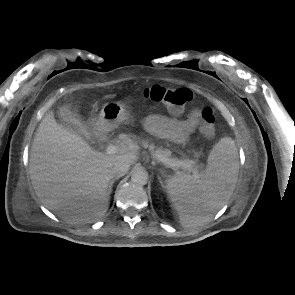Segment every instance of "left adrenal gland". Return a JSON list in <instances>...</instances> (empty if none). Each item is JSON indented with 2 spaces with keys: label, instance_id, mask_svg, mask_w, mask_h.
<instances>
[{
  "label": "left adrenal gland",
  "instance_id": "a2214340",
  "mask_svg": "<svg viewBox=\"0 0 295 295\" xmlns=\"http://www.w3.org/2000/svg\"><path fill=\"white\" fill-rule=\"evenodd\" d=\"M158 179H159V182H160V183L162 184V186H163V182H162L161 178L158 177Z\"/></svg>",
  "mask_w": 295,
  "mask_h": 295
}]
</instances>
